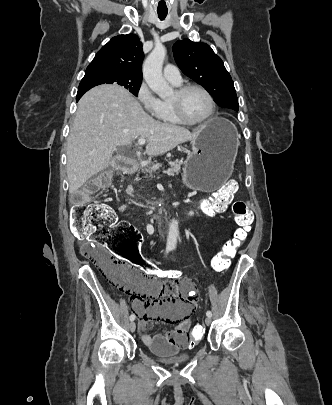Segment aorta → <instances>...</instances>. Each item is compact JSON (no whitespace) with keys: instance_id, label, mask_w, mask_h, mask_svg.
<instances>
[{"instance_id":"762f6f07","label":"aorta","mask_w":332,"mask_h":405,"mask_svg":"<svg viewBox=\"0 0 332 405\" xmlns=\"http://www.w3.org/2000/svg\"><path fill=\"white\" fill-rule=\"evenodd\" d=\"M166 57V49L159 44L154 47L143 64V77L148 86L160 97H166L170 87L162 75V66ZM178 239V222L172 220L169 226L167 245L176 246Z\"/></svg>"}]
</instances>
